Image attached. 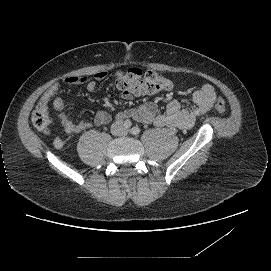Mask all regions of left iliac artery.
Wrapping results in <instances>:
<instances>
[{
    "mask_svg": "<svg viewBox=\"0 0 271 271\" xmlns=\"http://www.w3.org/2000/svg\"><path fill=\"white\" fill-rule=\"evenodd\" d=\"M140 128L139 127H133L132 129H131V133L133 134V135H138L139 133H140Z\"/></svg>",
    "mask_w": 271,
    "mask_h": 271,
    "instance_id": "obj_1",
    "label": "left iliac artery"
}]
</instances>
